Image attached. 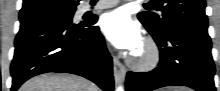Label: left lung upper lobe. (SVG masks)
Masks as SVG:
<instances>
[{
	"label": "left lung upper lobe",
	"mask_w": 220,
	"mask_h": 91,
	"mask_svg": "<svg viewBox=\"0 0 220 91\" xmlns=\"http://www.w3.org/2000/svg\"><path fill=\"white\" fill-rule=\"evenodd\" d=\"M156 9L162 14L140 12L139 20L153 36H164L178 26L207 29L208 19L205 14V0H153Z\"/></svg>",
	"instance_id": "1"
}]
</instances>
